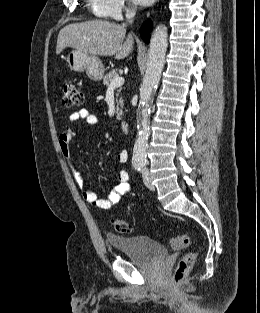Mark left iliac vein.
Returning a JSON list of instances; mask_svg holds the SVG:
<instances>
[{"instance_id":"4c4485c4","label":"left iliac vein","mask_w":260,"mask_h":313,"mask_svg":"<svg viewBox=\"0 0 260 313\" xmlns=\"http://www.w3.org/2000/svg\"><path fill=\"white\" fill-rule=\"evenodd\" d=\"M142 176H143V181H144V184L146 185V187L149 190L154 191L155 190V186L152 183L149 170L148 169H144L143 173H142Z\"/></svg>"}]
</instances>
